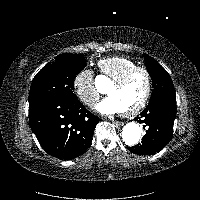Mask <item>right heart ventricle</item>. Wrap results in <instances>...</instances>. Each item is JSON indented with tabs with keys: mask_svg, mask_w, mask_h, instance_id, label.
I'll use <instances>...</instances> for the list:
<instances>
[{
	"mask_svg": "<svg viewBox=\"0 0 200 200\" xmlns=\"http://www.w3.org/2000/svg\"><path fill=\"white\" fill-rule=\"evenodd\" d=\"M98 66L102 75L111 82H114L131 69L139 67L135 61L125 56H112L101 59Z\"/></svg>",
	"mask_w": 200,
	"mask_h": 200,
	"instance_id": "e07e8e85",
	"label": "right heart ventricle"
}]
</instances>
